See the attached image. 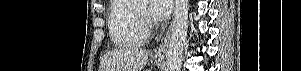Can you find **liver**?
I'll return each instance as SVG.
<instances>
[{"label": "liver", "instance_id": "liver-1", "mask_svg": "<svg viewBox=\"0 0 301 71\" xmlns=\"http://www.w3.org/2000/svg\"><path fill=\"white\" fill-rule=\"evenodd\" d=\"M149 51L133 47L113 50L102 60L103 71H142L147 64Z\"/></svg>", "mask_w": 301, "mask_h": 71}]
</instances>
